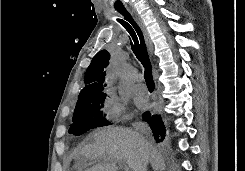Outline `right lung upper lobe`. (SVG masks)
I'll return each instance as SVG.
<instances>
[{
  "label": "right lung upper lobe",
  "mask_w": 245,
  "mask_h": 171,
  "mask_svg": "<svg viewBox=\"0 0 245 171\" xmlns=\"http://www.w3.org/2000/svg\"><path fill=\"white\" fill-rule=\"evenodd\" d=\"M109 59L110 55L106 50L98 52L93 57L84 77V82L86 85L80 92L78 100L105 94L103 93L104 86H106V84L104 85L106 75L104 68L108 66Z\"/></svg>",
  "instance_id": "1"
}]
</instances>
